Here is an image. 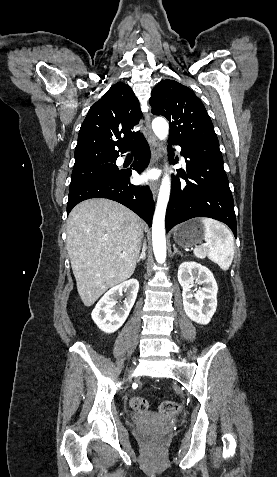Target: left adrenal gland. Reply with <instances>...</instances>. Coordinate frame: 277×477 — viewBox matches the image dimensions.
I'll return each instance as SVG.
<instances>
[{
  "label": "left adrenal gland",
  "mask_w": 277,
  "mask_h": 477,
  "mask_svg": "<svg viewBox=\"0 0 277 477\" xmlns=\"http://www.w3.org/2000/svg\"><path fill=\"white\" fill-rule=\"evenodd\" d=\"M173 248H174V252H173V255H175L176 253H178L180 256H183V254L178 251V249L176 248L175 244L173 245Z\"/></svg>",
  "instance_id": "obj_1"
}]
</instances>
